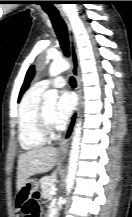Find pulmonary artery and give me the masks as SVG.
I'll list each match as a JSON object with an SVG mask.
<instances>
[{
  "mask_svg": "<svg viewBox=\"0 0 132 217\" xmlns=\"http://www.w3.org/2000/svg\"><path fill=\"white\" fill-rule=\"evenodd\" d=\"M65 84H66L65 79L60 76L53 78V79H45V80H42L36 83L37 86H39L40 88L44 90L49 88L50 86L61 88V87H64Z\"/></svg>",
  "mask_w": 132,
  "mask_h": 217,
  "instance_id": "e3ab8cb5",
  "label": "pulmonary artery"
}]
</instances>
